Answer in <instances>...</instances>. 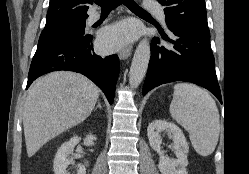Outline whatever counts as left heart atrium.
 <instances>
[{
    "label": "left heart atrium",
    "instance_id": "1",
    "mask_svg": "<svg viewBox=\"0 0 249 174\" xmlns=\"http://www.w3.org/2000/svg\"><path fill=\"white\" fill-rule=\"evenodd\" d=\"M138 34V28L131 22H121L104 30L100 36V46L111 51L119 48L125 42Z\"/></svg>",
    "mask_w": 249,
    "mask_h": 174
}]
</instances>
